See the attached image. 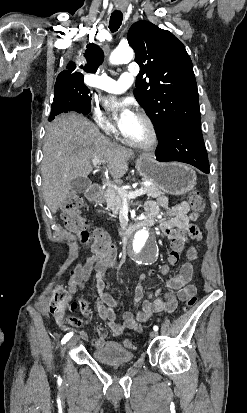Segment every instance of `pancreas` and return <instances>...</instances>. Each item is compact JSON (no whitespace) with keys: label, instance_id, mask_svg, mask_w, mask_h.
<instances>
[{"label":"pancreas","instance_id":"pancreas-1","mask_svg":"<svg viewBox=\"0 0 247 413\" xmlns=\"http://www.w3.org/2000/svg\"><path fill=\"white\" fill-rule=\"evenodd\" d=\"M141 186L146 190V194H148V196H153V198H157V196L164 194V192H161V190H159L157 186H154V184H141ZM125 190H127V188H125ZM128 192H132V190H128ZM104 196L107 202V209L112 211L113 215H118L123 204V196H121L117 188H113V186H111V188H106ZM127 200H130V198H127Z\"/></svg>","mask_w":247,"mask_h":413}]
</instances>
